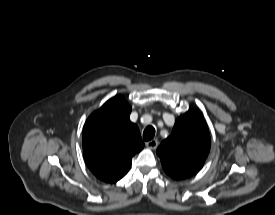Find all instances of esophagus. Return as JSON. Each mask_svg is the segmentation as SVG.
Returning <instances> with one entry per match:
<instances>
[{"label": "esophagus", "instance_id": "1", "mask_svg": "<svg viewBox=\"0 0 275 215\" xmlns=\"http://www.w3.org/2000/svg\"><path fill=\"white\" fill-rule=\"evenodd\" d=\"M158 144H159L158 140L153 139L151 141L146 142L145 145H146L147 148L154 150V149L157 148Z\"/></svg>", "mask_w": 275, "mask_h": 215}]
</instances>
